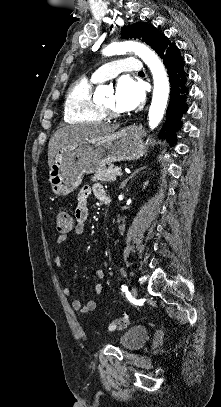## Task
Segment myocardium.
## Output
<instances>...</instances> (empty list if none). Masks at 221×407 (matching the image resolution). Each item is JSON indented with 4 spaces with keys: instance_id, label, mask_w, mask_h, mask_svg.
<instances>
[{
    "instance_id": "1",
    "label": "myocardium",
    "mask_w": 221,
    "mask_h": 407,
    "mask_svg": "<svg viewBox=\"0 0 221 407\" xmlns=\"http://www.w3.org/2000/svg\"><path fill=\"white\" fill-rule=\"evenodd\" d=\"M100 109L105 117H118V116L122 115V112H120L116 109H113V108H109V107L105 106L104 104L100 105Z\"/></svg>"
}]
</instances>
